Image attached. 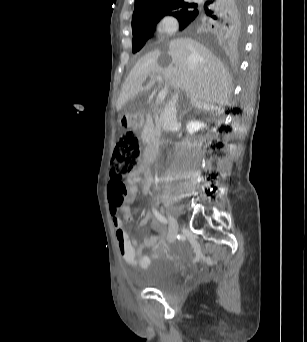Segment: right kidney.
Returning a JSON list of instances; mask_svg holds the SVG:
<instances>
[{
    "label": "right kidney",
    "mask_w": 307,
    "mask_h": 342,
    "mask_svg": "<svg viewBox=\"0 0 307 342\" xmlns=\"http://www.w3.org/2000/svg\"><path fill=\"white\" fill-rule=\"evenodd\" d=\"M201 128H205V124H203V122H198V120H191L186 126V130H188L189 134H195V132H199Z\"/></svg>",
    "instance_id": "1"
}]
</instances>
